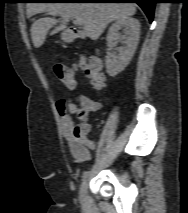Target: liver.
I'll return each mask as SVG.
<instances>
[{
	"label": "liver",
	"mask_w": 188,
	"mask_h": 213,
	"mask_svg": "<svg viewBox=\"0 0 188 213\" xmlns=\"http://www.w3.org/2000/svg\"><path fill=\"white\" fill-rule=\"evenodd\" d=\"M46 12L60 19L45 17L36 20L31 27V37L35 48L43 45L51 28L60 23L51 35L64 30L70 19H83L84 30L88 37L97 40L107 25L114 20L127 18L136 13L134 3H28L27 16Z\"/></svg>",
	"instance_id": "liver-1"
}]
</instances>
